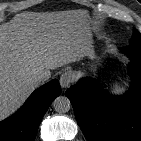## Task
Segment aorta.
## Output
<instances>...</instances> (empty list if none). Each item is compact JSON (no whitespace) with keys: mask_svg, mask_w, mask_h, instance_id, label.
I'll return each instance as SVG.
<instances>
[{"mask_svg":"<svg viewBox=\"0 0 141 141\" xmlns=\"http://www.w3.org/2000/svg\"><path fill=\"white\" fill-rule=\"evenodd\" d=\"M53 107L56 112L66 113L71 108V102L67 97L59 96L53 101Z\"/></svg>","mask_w":141,"mask_h":141,"instance_id":"aorta-1","label":"aorta"}]
</instances>
